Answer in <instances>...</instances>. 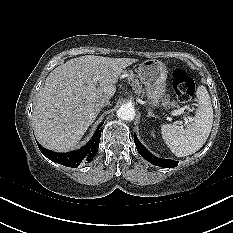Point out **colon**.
<instances>
[{"label": "colon", "mask_w": 233, "mask_h": 233, "mask_svg": "<svg viewBox=\"0 0 233 233\" xmlns=\"http://www.w3.org/2000/svg\"><path fill=\"white\" fill-rule=\"evenodd\" d=\"M172 76L173 87L178 100L182 103L189 102L195 93L194 78L182 68L175 69Z\"/></svg>", "instance_id": "5ec220e1"}]
</instances>
